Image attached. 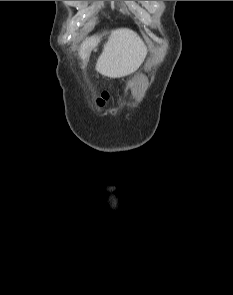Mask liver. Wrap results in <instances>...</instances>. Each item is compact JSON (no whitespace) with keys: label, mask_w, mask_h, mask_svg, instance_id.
Instances as JSON below:
<instances>
[{"label":"liver","mask_w":233,"mask_h":295,"mask_svg":"<svg viewBox=\"0 0 233 295\" xmlns=\"http://www.w3.org/2000/svg\"><path fill=\"white\" fill-rule=\"evenodd\" d=\"M101 37L94 35L82 42L79 48L82 68L86 66L91 50L97 47ZM146 54V46L134 31L127 28L112 30L97 60L96 71L110 78L128 75L138 69Z\"/></svg>","instance_id":"liver-1"}]
</instances>
